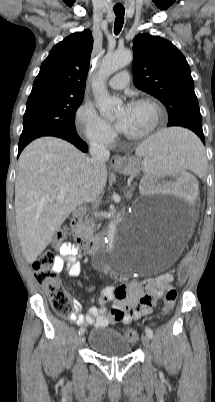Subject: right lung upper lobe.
Wrapping results in <instances>:
<instances>
[{"label":"right lung upper lobe","mask_w":215,"mask_h":402,"mask_svg":"<svg viewBox=\"0 0 215 402\" xmlns=\"http://www.w3.org/2000/svg\"><path fill=\"white\" fill-rule=\"evenodd\" d=\"M92 47L93 37L88 29L55 45L40 67L30 96L41 93L84 96Z\"/></svg>","instance_id":"cb5924a9"}]
</instances>
